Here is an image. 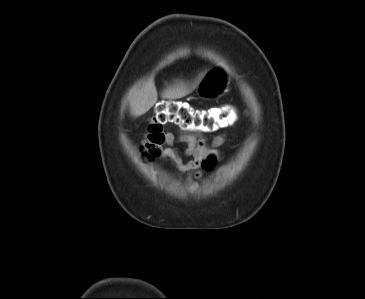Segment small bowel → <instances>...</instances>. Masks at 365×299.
Segmentation results:
<instances>
[{"mask_svg": "<svg viewBox=\"0 0 365 299\" xmlns=\"http://www.w3.org/2000/svg\"><path fill=\"white\" fill-rule=\"evenodd\" d=\"M227 136L221 133L212 140L207 141L203 132L174 134L166 133L165 143L167 147L161 150L159 156L167 158L180 174H186L188 187H196L197 180L203 178V171H211L220 157L217 149L226 142ZM177 144H185L183 149L177 148ZM183 156L192 159L185 162Z\"/></svg>", "mask_w": 365, "mask_h": 299, "instance_id": "obj_1", "label": "small bowel"}]
</instances>
